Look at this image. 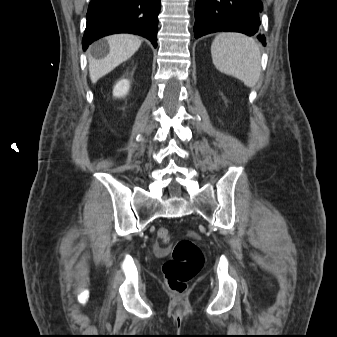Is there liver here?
Masks as SVG:
<instances>
[{"mask_svg": "<svg viewBox=\"0 0 337 337\" xmlns=\"http://www.w3.org/2000/svg\"><path fill=\"white\" fill-rule=\"evenodd\" d=\"M109 52L103 59L89 58V75L92 83L128 60L141 46L139 37L131 34H114L106 38Z\"/></svg>", "mask_w": 337, "mask_h": 337, "instance_id": "obj_1", "label": "liver"}]
</instances>
